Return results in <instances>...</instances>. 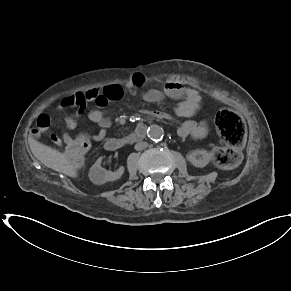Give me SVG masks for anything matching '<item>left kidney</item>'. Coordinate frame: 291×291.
Instances as JSON below:
<instances>
[{"instance_id": "5707ae66", "label": "left kidney", "mask_w": 291, "mask_h": 291, "mask_svg": "<svg viewBox=\"0 0 291 291\" xmlns=\"http://www.w3.org/2000/svg\"><path fill=\"white\" fill-rule=\"evenodd\" d=\"M187 160L195 167L203 168L211 160V155L206 150H194L187 154Z\"/></svg>"}]
</instances>
